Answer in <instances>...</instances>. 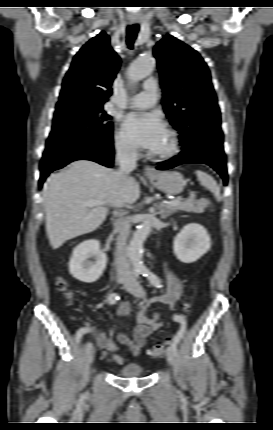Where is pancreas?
<instances>
[{"mask_svg":"<svg viewBox=\"0 0 273 430\" xmlns=\"http://www.w3.org/2000/svg\"><path fill=\"white\" fill-rule=\"evenodd\" d=\"M207 204H208L207 200H204V199L196 200L194 198H190L188 200L181 201L176 206H167V209L172 211V212H176L177 210H181V211L200 214V213L204 212V209L207 206Z\"/></svg>","mask_w":273,"mask_h":430,"instance_id":"1","label":"pancreas"}]
</instances>
